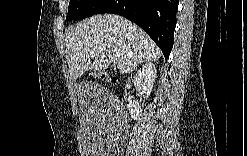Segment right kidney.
<instances>
[{
    "mask_svg": "<svg viewBox=\"0 0 247 156\" xmlns=\"http://www.w3.org/2000/svg\"><path fill=\"white\" fill-rule=\"evenodd\" d=\"M156 67L153 63H146L142 66L134 76V85L137 91L148 98L153 89L154 81L156 78ZM131 118L138 120L142 115V108L137 101H131L128 105Z\"/></svg>",
    "mask_w": 247,
    "mask_h": 156,
    "instance_id": "right-kidney-1",
    "label": "right kidney"
}]
</instances>
